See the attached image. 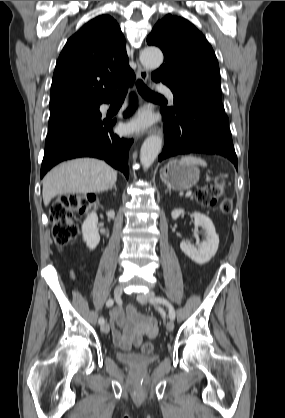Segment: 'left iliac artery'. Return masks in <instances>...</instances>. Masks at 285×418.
<instances>
[{"label": "left iliac artery", "mask_w": 285, "mask_h": 418, "mask_svg": "<svg viewBox=\"0 0 285 418\" xmlns=\"http://www.w3.org/2000/svg\"><path fill=\"white\" fill-rule=\"evenodd\" d=\"M152 302L165 305L168 308L169 318L171 320H174L175 319V309H174V307L171 305V303L166 298H164V297H155V298L152 299Z\"/></svg>", "instance_id": "left-iliac-artery-1"}]
</instances>
